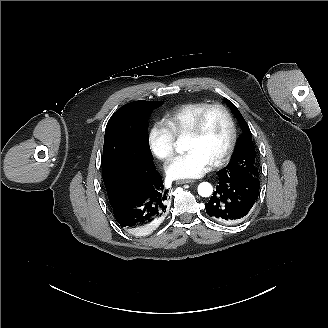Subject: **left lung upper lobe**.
Listing matches in <instances>:
<instances>
[{
    "instance_id": "obj_1",
    "label": "left lung upper lobe",
    "mask_w": 328,
    "mask_h": 328,
    "mask_svg": "<svg viewBox=\"0 0 328 328\" xmlns=\"http://www.w3.org/2000/svg\"><path fill=\"white\" fill-rule=\"evenodd\" d=\"M226 103L236 116L244 133L239 140V144L237 145L229 164L221 171L225 174L258 178L252 133L237 107L229 100H226Z\"/></svg>"
}]
</instances>
